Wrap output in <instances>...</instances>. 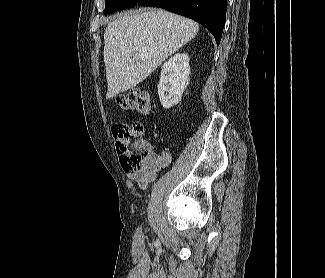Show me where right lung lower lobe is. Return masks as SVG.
<instances>
[{
    "label": "right lung lower lobe",
    "instance_id": "1",
    "mask_svg": "<svg viewBox=\"0 0 325 278\" xmlns=\"http://www.w3.org/2000/svg\"><path fill=\"white\" fill-rule=\"evenodd\" d=\"M137 4L160 7L189 17L205 26L215 37L217 45L221 40L227 0H138Z\"/></svg>",
    "mask_w": 325,
    "mask_h": 278
}]
</instances>
